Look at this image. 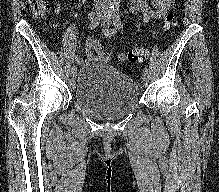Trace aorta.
Returning <instances> with one entry per match:
<instances>
[{
    "label": "aorta",
    "mask_w": 219,
    "mask_h": 192,
    "mask_svg": "<svg viewBox=\"0 0 219 192\" xmlns=\"http://www.w3.org/2000/svg\"><path fill=\"white\" fill-rule=\"evenodd\" d=\"M110 1V4L112 5H117L121 2V0H109Z\"/></svg>",
    "instance_id": "1"
}]
</instances>
